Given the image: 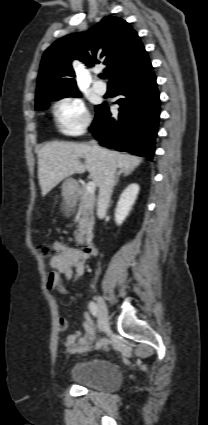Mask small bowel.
Masks as SVG:
<instances>
[{"instance_id":"obj_1","label":"small bowel","mask_w":208,"mask_h":425,"mask_svg":"<svg viewBox=\"0 0 208 425\" xmlns=\"http://www.w3.org/2000/svg\"><path fill=\"white\" fill-rule=\"evenodd\" d=\"M52 248L55 254L50 259L52 271L47 278V287L60 294H67L68 289L65 281L73 284L83 276L86 269L87 255L81 250L59 241L54 242ZM59 328L63 332L67 331L69 321L66 318H60ZM95 336L94 323L90 315L84 312L82 329L68 335L63 341V346L69 354H82L90 349Z\"/></svg>"}]
</instances>
